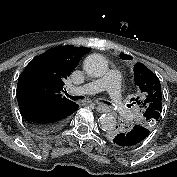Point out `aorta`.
<instances>
[{
    "mask_svg": "<svg viewBox=\"0 0 177 177\" xmlns=\"http://www.w3.org/2000/svg\"><path fill=\"white\" fill-rule=\"evenodd\" d=\"M83 68L85 72L93 77H101L108 70V63L105 57L100 54H91L84 60ZM101 128L104 131H111L116 127V117L111 113L101 115L99 118Z\"/></svg>",
    "mask_w": 177,
    "mask_h": 177,
    "instance_id": "obj_1",
    "label": "aorta"
}]
</instances>
